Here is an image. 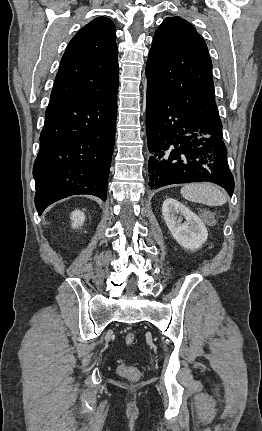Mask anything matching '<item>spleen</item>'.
Wrapping results in <instances>:
<instances>
[{
	"mask_svg": "<svg viewBox=\"0 0 262 431\" xmlns=\"http://www.w3.org/2000/svg\"><path fill=\"white\" fill-rule=\"evenodd\" d=\"M181 195L192 202L208 206H222L227 202L226 196L210 183H192L182 187Z\"/></svg>",
	"mask_w": 262,
	"mask_h": 431,
	"instance_id": "obj_1",
	"label": "spleen"
}]
</instances>
